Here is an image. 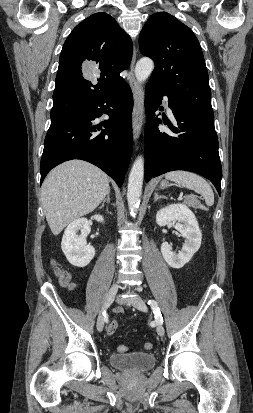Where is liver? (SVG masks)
Segmentation results:
<instances>
[{"label": "liver", "instance_id": "liver-1", "mask_svg": "<svg viewBox=\"0 0 253 413\" xmlns=\"http://www.w3.org/2000/svg\"><path fill=\"white\" fill-rule=\"evenodd\" d=\"M109 191L108 176L88 162L70 160L51 170L41 188L51 232L58 235L68 224L95 210Z\"/></svg>", "mask_w": 253, "mask_h": 413}]
</instances>
